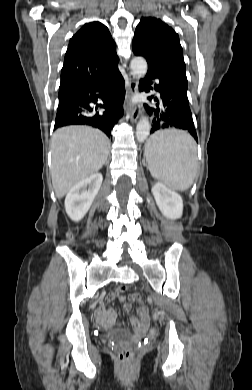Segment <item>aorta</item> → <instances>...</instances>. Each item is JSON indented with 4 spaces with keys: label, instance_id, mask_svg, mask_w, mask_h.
<instances>
[{
    "label": "aorta",
    "instance_id": "obj_1",
    "mask_svg": "<svg viewBox=\"0 0 252 390\" xmlns=\"http://www.w3.org/2000/svg\"><path fill=\"white\" fill-rule=\"evenodd\" d=\"M134 75L143 77L147 73V62L142 57H134L130 63ZM150 123L146 117L139 120L136 127V137L139 142H144L150 134Z\"/></svg>",
    "mask_w": 252,
    "mask_h": 390
}]
</instances>
